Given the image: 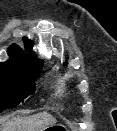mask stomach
Listing matches in <instances>:
<instances>
[{"label": "stomach", "instance_id": "0dacf381", "mask_svg": "<svg viewBox=\"0 0 117 131\" xmlns=\"http://www.w3.org/2000/svg\"><path fill=\"white\" fill-rule=\"evenodd\" d=\"M44 130H47V131H64V130H67V128H66V126H64L62 124H54V125L48 126Z\"/></svg>", "mask_w": 117, "mask_h": 131}]
</instances>
